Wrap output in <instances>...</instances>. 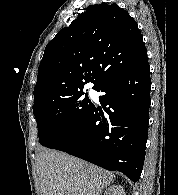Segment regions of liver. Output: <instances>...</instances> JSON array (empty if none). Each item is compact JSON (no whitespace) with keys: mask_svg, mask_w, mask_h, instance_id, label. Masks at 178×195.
Segmentation results:
<instances>
[{"mask_svg":"<svg viewBox=\"0 0 178 195\" xmlns=\"http://www.w3.org/2000/svg\"><path fill=\"white\" fill-rule=\"evenodd\" d=\"M41 195H100L114 181V174L93 164L53 150L37 157Z\"/></svg>","mask_w":178,"mask_h":195,"instance_id":"6515ba94","label":"liver"}]
</instances>
